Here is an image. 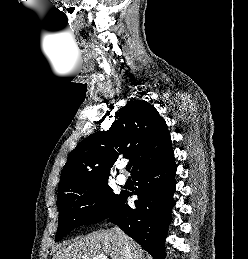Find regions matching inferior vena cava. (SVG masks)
<instances>
[{
    "label": "inferior vena cava",
    "mask_w": 248,
    "mask_h": 259,
    "mask_svg": "<svg viewBox=\"0 0 248 259\" xmlns=\"http://www.w3.org/2000/svg\"><path fill=\"white\" fill-rule=\"evenodd\" d=\"M116 232L119 235H124V233L119 228H116ZM125 257H126V259H133L132 253H131L128 245H126Z\"/></svg>",
    "instance_id": "1"
}]
</instances>
